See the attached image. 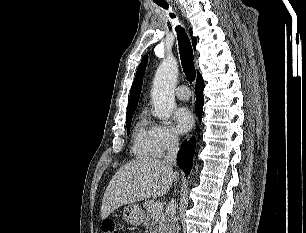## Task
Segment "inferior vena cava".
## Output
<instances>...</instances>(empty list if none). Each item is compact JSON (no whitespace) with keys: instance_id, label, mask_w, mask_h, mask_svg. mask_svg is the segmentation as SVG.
<instances>
[{"instance_id":"1","label":"inferior vena cava","mask_w":306,"mask_h":233,"mask_svg":"<svg viewBox=\"0 0 306 233\" xmlns=\"http://www.w3.org/2000/svg\"><path fill=\"white\" fill-rule=\"evenodd\" d=\"M179 151V139L173 135L170 137L167 144V155L164 158V162L170 166L176 164V157ZM176 203L172 199L167 207L165 213V233H179V228L176 220Z\"/></svg>"}]
</instances>
